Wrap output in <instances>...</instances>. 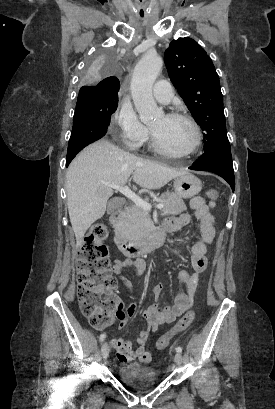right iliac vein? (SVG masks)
<instances>
[{
    "mask_svg": "<svg viewBox=\"0 0 275 409\" xmlns=\"http://www.w3.org/2000/svg\"><path fill=\"white\" fill-rule=\"evenodd\" d=\"M109 351H110V347H109L108 343H107V342H104V343L102 344V348H101V354H102V356H103L104 359H107V358H108Z\"/></svg>",
    "mask_w": 275,
    "mask_h": 409,
    "instance_id": "right-iliac-vein-1",
    "label": "right iliac vein"
}]
</instances>
